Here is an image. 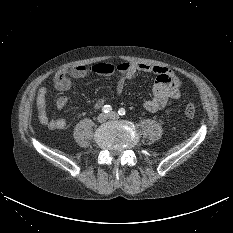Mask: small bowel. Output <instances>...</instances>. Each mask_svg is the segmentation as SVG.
Listing matches in <instances>:
<instances>
[{
	"instance_id": "c3829d8e",
	"label": "small bowel",
	"mask_w": 233,
	"mask_h": 233,
	"mask_svg": "<svg viewBox=\"0 0 233 233\" xmlns=\"http://www.w3.org/2000/svg\"><path fill=\"white\" fill-rule=\"evenodd\" d=\"M114 73H117L116 94L123 91L126 80L134 79L142 74L155 75L152 96L144 101V108L149 112L163 109L181 97L182 81L171 69L164 66L127 61L116 65L112 63H98L91 66L77 65L69 70L57 72L52 78V83L57 90L66 91L72 86L74 80L86 79L91 75L110 76ZM47 95L48 90L46 87H41L37 92L38 119L48 129H64L67 126L65 119H51L48 116ZM107 101L108 97H101L95 102V107L101 108ZM67 102L68 98L66 96H59L56 99L55 106L61 111Z\"/></svg>"
}]
</instances>
